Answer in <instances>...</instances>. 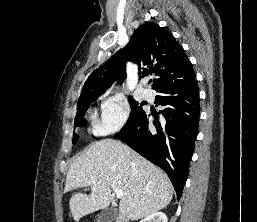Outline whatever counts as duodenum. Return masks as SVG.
<instances>
[{"label":"duodenum","instance_id":"duodenum-1","mask_svg":"<svg viewBox=\"0 0 257 222\" xmlns=\"http://www.w3.org/2000/svg\"><path fill=\"white\" fill-rule=\"evenodd\" d=\"M115 222H129V220L125 215L120 214L116 217Z\"/></svg>","mask_w":257,"mask_h":222}]
</instances>
